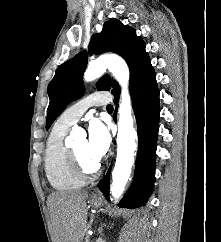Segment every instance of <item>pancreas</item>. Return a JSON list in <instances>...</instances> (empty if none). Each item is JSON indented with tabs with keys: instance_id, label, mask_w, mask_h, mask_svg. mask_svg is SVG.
<instances>
[{
	"instance_id": "obj_1",
	"label": "pancreas",
	"mask_w": 221,
	"mask_h": 242,
	"mask_svg": "<svg viewBox=\"0 0 221 242\" xmlns=\"http://www.w3.org/2000/svg\"><path fill=\"white\" fill-rule=\"evenodd\" d=\"M84 242H91L90 239L87 237Z\"/></svg>"
}]
</instances>
